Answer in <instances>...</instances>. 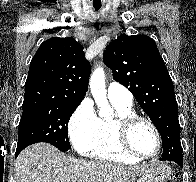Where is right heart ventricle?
<instances>
[{
    "label": "right heart ventricle",
    "instance_id": "e07e8e85",
    "mask_svg": "<svg viewBox=\"0 0 196 182\" xmlns=\"http://www.w3.org/2000/svg\"><path fill=\"white\" fill-rule=\"evenodd\" d=\"M111 103L116 111V117L99 119L97 137L88 155L98 161L118 164H136L140 160L129 156L119 147L114 126L117 117L134 114L132 104L117 101H111Z\"/></svg>",
    "mask_w": 196,
    "mask_h": 182
}]
</instances>
